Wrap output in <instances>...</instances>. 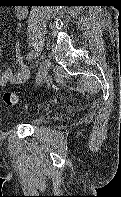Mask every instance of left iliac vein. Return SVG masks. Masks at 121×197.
Instances as JSON below:
<instances>
[{
	"label": "left iliac vein",
	"instance_id": "left-iliac-vein-1",
	"mask_svg": "<svg viewBox=\"0 0 121 197\" xmlns=\"http://www.w3.org/2000/svg\"><path fill=\"white\" fill-rule=\"evenodd\" d=\"M50 69V61L48 59H44L40 66L38 67L36 73V84L39 85L46 78Z\"/></svg>",
	"mask_w": 121,
	"mask_h": 197
}]
</instances>
